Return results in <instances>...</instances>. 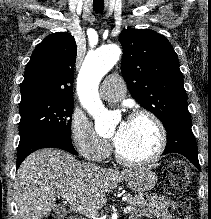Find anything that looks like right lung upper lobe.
I'll return each instance as SVG.
<instances>
[{
    "mask_svg": "<svg viewBox=\"0 0 211 219\" xmlns=\"http://www.w3.org/2000/svg\"><path fill=\"white\" fill-rule=\"evenodd\" d=\"M77 47L67 32H56L38 44L27 63L21 83L22 100L56 98L73 100Z\"/></svg>",
    "mask_w": 211,
    "mask_h": 219,
    "instance_id": "1",
    "label": "right lung upper lobe"
}]
</instances>
